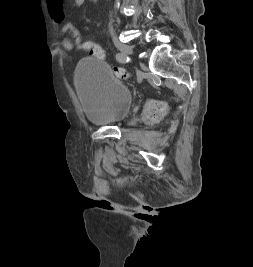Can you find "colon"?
Returning a JSON list of instances; mask_svg holds the SVG:
<instances>
[{
  "mask_svg": "<svg viewBox=\"0 0 253 267\" xmlns=\"http://www.w3.org/2000/svg\"><path fill=\"white\" fill-rule=\"evenodd\" d=\"M70 40L73 44V49H77L79 51H86V52H89L93 57L104 59L105 52L103 48L100 45L92 41L84 40L81 37L79 32L72 34L70 36ZM115 71H116V74L122 79L129 77L128 73L122 68H116ZM152 107H153V110H158L162 108V104L154 103Z\"/></svg>",
  "mask_w": 253,
  "mask_h": 267,
  "instance_id": "obj_1",
  "label": "colon"
}]
</instances>
